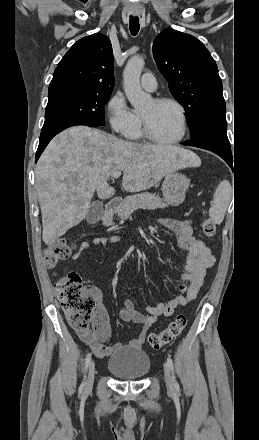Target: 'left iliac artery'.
<instances>
[{"mask_svg": "<svg viewBox=\"0 0 259 440\" xmlns=\"http://www.w3.org/2000/svg\"><path fill=\"white\" fill-rule=\"evenodd\" d=\"M167 364H168L169 368L171 369V371H172V373H173V371H174V365H173V361H172V359H171L170 357L167 358ZM173 382H174V387H175V389H178V388H179V385H178V383H177V381H176V379H175L174 373H173Z\"/></svg>", "mask_w": 259, "mask_h": 440, "instance_id": "1", "label": "left iliac artery"}]
</instances>
